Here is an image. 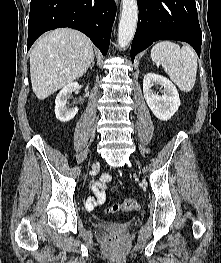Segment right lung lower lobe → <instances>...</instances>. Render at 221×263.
<instances>
[{
  "instance_id": "obj_1",
  "label": "right lung lower lobe",
  "mask_w": 221,
  "mask_h": 263,
  "mask_svg": "<svg viewBox=\"0 0 221 263\" xmlns=\"http://www.w3.org/2000/svg\"><path fill=\"white\" fill-rule=\"evenodd\" d=\"M115 15L114 0H31L27 50L44 32L71 27L86 34L106 55Z\"/></svg>"
}]
</instances>
